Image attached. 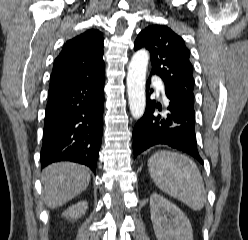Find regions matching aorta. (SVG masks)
<instances>
[{
    "label": "aorta",
    "instance_id": "762f6f07",
    "mask_svg": "<svg viewBox=\"0 0 248 240\" xmlns=\"http://www.w3.org/2000/svg\"><path fill=\"white\" fill-rule=\"evenodd\" d=\"M149 54L146 50L136 52L129 64L127 73V93L130 112L134 119H140L145 111L146 70Z\"/></svg>",
    "mask_w": 248,
    "mask_h": 240
}]
</instances>
